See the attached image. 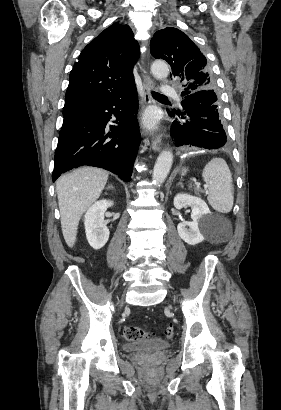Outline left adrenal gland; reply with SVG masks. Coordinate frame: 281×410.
I'll use <instances>...</instances> for the list:
<instances>
[{
    "instance_id": "a2214340",
    "label": "left adrenal gland",
    "mask_w": 281,
    "mask_h": 410,
    "mask_svg": "<svg viewBox=\"0 0 281 410\" xmlns=\"http://www.w3.org/2000/svg\"><path fill=\"white\" fill-rule=\"evenodd\" d=\"M177 186H181V187H183L182 182H178V183H177Z\"/></svg>"
}]
</instances>
